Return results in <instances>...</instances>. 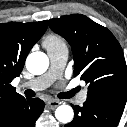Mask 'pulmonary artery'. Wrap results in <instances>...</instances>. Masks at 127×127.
Wrapping results in <instances>:
<instances>
[{
    "label": "pulmonary artery",
    "instance_id": "e3ab8cb5",
    "mask_svg": "<svg viewBox=\"0 0 127 127\" xmlns=\"http://www.w3.org/2000/svg\"><path fill=\"white\" fill-rule=\"evenodd\" d=\"M48 56L50 59V69L48 72L42 76L33 78L23 83L21 85L22 87H26L35 91L43 90L49 87L57 78L62 75L68 60L67 48L63 47L48 51ZM86 99L87 93L85 91L81 92L78 96V102L82 104L86 101Z\"/></svg>",
    "mask_w": 127,
    "mask_h": 127
}]
</instances>
